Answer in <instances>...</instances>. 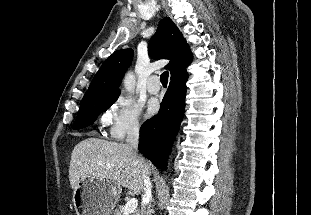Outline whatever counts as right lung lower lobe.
<instances>
[{
	"label": "right lung lower lobe",
	"mask_w": 311,
	"mask_h": 215,
	"mask_svg": "<svg viewBox=\"0 0 311 215\" xmlns=\"http://www.w3.org/2000/svg\"><path fill=\"white\" fill-rule=\"evenodd\" d=\"M186 70L171 77L158 115L148 119L140 129L139 151L156 167L166 170L167 159L183 119Z\"/></svg>",
	"instance_id": "98d812e1"
}]
</instances>
